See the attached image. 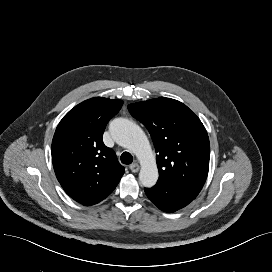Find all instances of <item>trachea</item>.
I'll return each instance as SVG.
<instances>
[{"mask_svg": "<svg viewBox=\"0 0 272 272\" xmlns=\"http://www.w3.org/2000/svg\"><path fill=\"white\" fill-rule=\"evenodd\" d=\"M120 159L123 164L127 165L133 162V157L129 152H123Z\"/></svg>", "mask_w": 272, "mask_h": 272, "instance_id": "obj_1", "label": "trachea"}]
</instances>
